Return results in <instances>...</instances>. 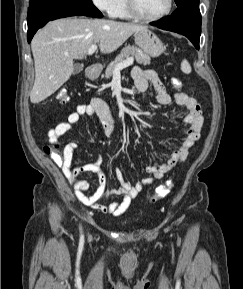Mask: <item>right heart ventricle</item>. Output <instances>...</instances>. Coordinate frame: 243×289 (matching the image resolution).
Returning a JSON list of instances; mask_svg holds the SVG:
<instances>
[{"label":"right heart ventricle","instance_id":"1","mask_svg":"<svg viewBox=\"0 0 243 289\" xmlns=\"http://www.w3.org/2000/svg\"><path fill=\"white\" fill-rule=\"evenodd\" d=\"M113 17L120 18V19H126V20L133 18L129 14V12L127 11L125 0L120 1L115 13L113 14Z\"/></svg>","mask_w":243,"mask_h":289}]
</instances>
